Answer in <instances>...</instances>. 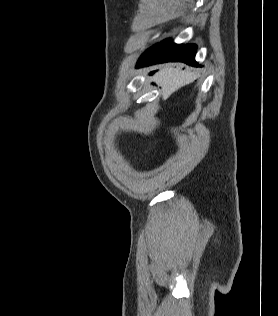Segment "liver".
<instances>
[{"instance_id":"obj_1","label":"liver","mask_w":278,"mask_h":316,"mask_svg":"<svg viewBox=\"0 0 278 316\" xmlns=\"http://www.w3.org/2000/svg\"><path fill=\"white\" fill-rule=\"evenodd\" d=\"M196 78L194 72L182 70L181 65L167 64L160 68L159 72L153 77V81L161 87L163 99L168 98L174 91L180 87L192 82Z\"/></svg>"}]
</instances>
